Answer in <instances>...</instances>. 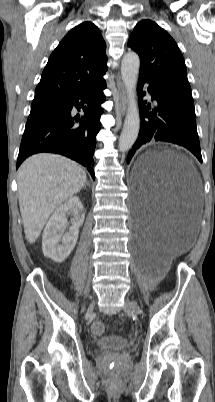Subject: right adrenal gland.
Instances as JSON below:
<instances>
[{
  "label": "right adrenal gland",
  "mask_w": 215,
  "mask_h": 402,
  "mask_svg": "<svg viewBox=\"0 0 215 402\" xmlns=\"http://www.w3.org/2000/svg\"><path fill=\"white\" fill-rule=\"evenodd\" d=\"M86 185H89V183L88 182H86ZM86 187V186H85Z\"/></svg>",
  "instance_id": "2a0ac1e0"
}]
</instances>
